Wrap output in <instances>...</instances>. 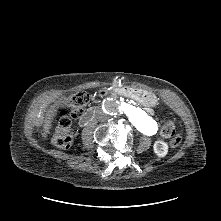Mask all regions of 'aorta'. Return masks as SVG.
<instances>
[{"mask_svg":"<svg viewBox=\"0 0 221 221\" xmlns=\"http://www.w3.org/2000/svg\"><path fill=\"white\" fill-rule=\"evenodd\" d=\"M120 110L128 117L129 121L142 133L152 135L156 132V123L140 108L131 104H122Z\"/></svg>","mask_w":221,"mask_h":221,"instance_id":"aorta-1","label":"aorta"}]
</instances>
